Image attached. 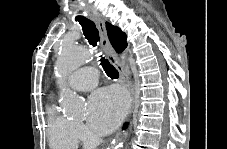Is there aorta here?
<instances>
[{
  "label": "aorta",
  "instance_id": "1",
  "mask_svg": "<svg viewBox=\"0 0 227 149\" xmlns=\"http://www.w3.org/2000/svg\"><path fill=\"white\" fill-rule=\"evenodd\" d=\"M92 58L85 48L75 43H63L55 63V74L61 86L60 102L65 111L74 116H80L83 112L82 101L69 89L63 87L65 79L86 60ZM121 138L112 142L111 149L121 147Z\"/></svg>",
  "mask_w": 227,
  "mask_h": 149
}]
</instances>
